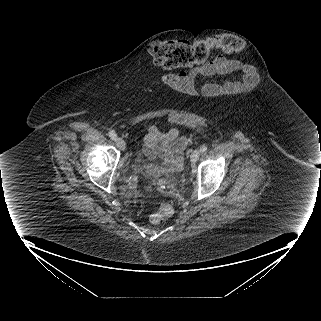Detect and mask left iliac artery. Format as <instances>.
Listing matches in <instances>:
<instances>
[{"instance_id": "44dca946", "label": "left iliac artery", "mask_w": 321, "mask_h": 321, "mask_svg": "<svg viewBox=\"0 0 321 321\" xmlns=\"http://www.w3.org/2000/svg\"><path fill=\"white\" fill-rule=\"evenodd\" d=\"M208 149V147L206 145H203L201 148H200V152L204 153L206 152Z\"/></svg>"}]
</instances>
